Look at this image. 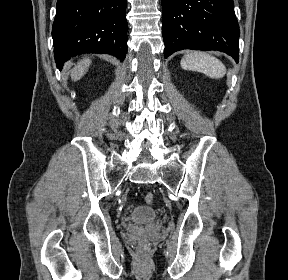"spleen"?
Here are the masks:
<instances>
[{"mask_svg":"<svg viewBox=\"0 0 288 280\" xmlns=\"http://www.w3.org/2000/svg\"><path fill=\"white\" fill-rule=\"evenodd\" d=\"M180 64L183 69L198 71L214 79L222 78L226 74L225 65L205 52L188 53L181 59Z\"/></svg>","mask_w":288,"mask_h":280,"instance_id":"spleen-1","label":"spleen"}]
</instances>
